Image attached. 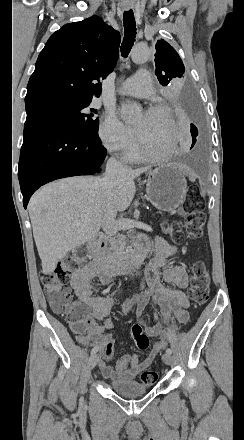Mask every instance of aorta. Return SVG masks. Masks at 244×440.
<instances>
[{"label": "aorta", "instance_id": "aorta-1", "mask_svg": "<svg viewBox=\"0 0 244 440\" xmlns=\"http://www.w3.org/2000/svg\"><path fill=\"white\" fill-rule=\"evenodd\" d=\"M150 57V51L146 47H135L132 50L131 58L135 63H144ZM141 107L138 104L124 102L121 105V117L126 123L134 122L139 116Z\"/></svg>", "mask_w": 244, "mask_h": 440}]
</instances>
